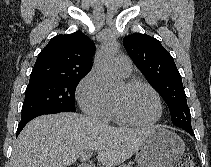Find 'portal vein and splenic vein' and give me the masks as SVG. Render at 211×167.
<instances>
[{"mask_svg":"<svg viewBox=\"0 0 211 167\" xmlns=\"http://www.w3.org/2000/svg\"><path fill=\"white\" fill-rule=\"evenodd\" d=\"M92 156V153L88 152V153H84L82 156H81V161H87L91 158Z\"/></svg>","mask_w":211,"mask_h":167,"instance_id":"1","label":"portal vein and splenic vein"}]
</instances>
